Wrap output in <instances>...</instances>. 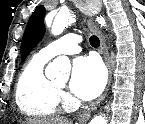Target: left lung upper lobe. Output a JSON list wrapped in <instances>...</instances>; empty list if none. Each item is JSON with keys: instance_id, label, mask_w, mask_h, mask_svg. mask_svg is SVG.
I'll return each mask as SVG.
<instances>
[{"instance_id": "obj_1", "label": "left lung upper lobe", "mask_w": 145, "mask_h": 124, "mask_svg": "<svg viewBox=\"0 0 145 124\" xmlns=\"http://www.w3.org/2000/svg\"><path fill=\"white\" fill-rule=\"evenodd\" d=\"M45 8L37 6L36 10L30 17L26 26L22 43H21V59L23 60L26 55L40 42L45 33L44 25Z\"/></svg>"}]
</instances>
